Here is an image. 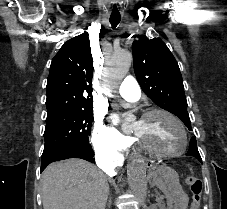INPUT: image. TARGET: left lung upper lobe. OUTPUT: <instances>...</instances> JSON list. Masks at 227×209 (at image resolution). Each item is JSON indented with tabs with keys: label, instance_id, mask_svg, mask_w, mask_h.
<instances>
[{
	"label": "left lung upper lobe",
	"instance_id": "obj_1",
	"mask_svg": "<svg viewBox=\"0 0 227 209\" xmlns=\"http://www.w3.org/2000/svg\"><path fill=\"white\" fill-rule=\"evenodd\" d=\"M132 51L134 72L142 90L159 107L179 117L192 131L182 76L169 48L159 38L140 37L133 42ZM186 155L202 163L195 136L190 139Z\"/></svg>",
	"mask_w": 227,
	"mask_h": 209
}]
</instances>
